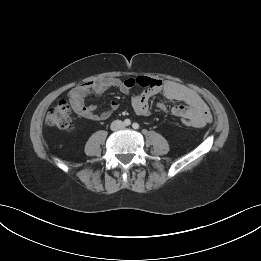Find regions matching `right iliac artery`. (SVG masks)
Returning a JSON list of instances; mask_svg holds the SVG:
<instances>
[{"label": "right iliac artery", "mask_w": 261, "mask_h": 261, "mask_svg": "<svg viewBox=\"0 0 261 261\" xmlns=\"http://www.w3.org/2000/svg\"><path fill=\"white\" fill-rule=\"evenodd\" d=\"M124 124H125L126 126L130 125V124H131L130 119H125V120H124Z\"/></svg>", "instance_id": "82829eb1"}]
</instances>
